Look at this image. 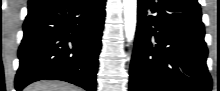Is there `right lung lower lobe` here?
I'll return each mask as SVG.
<instances>
[{
    "mask_svg": "<svg viewBox=\"0 0 220 91\" xmlns=\"http://www.w3.org/2000/svg\"><path fill=\"white\" fill-rule=\"evenodd\" d=\"M105 0H38L28 4L15 88L54 79L96 90Z\"/></svg>",
    "mask_w": 220,
    "mask_h": 91,
    "instance_id": "98d812e1",
    "label": "right lung lower lobe"
}]
</instances>
